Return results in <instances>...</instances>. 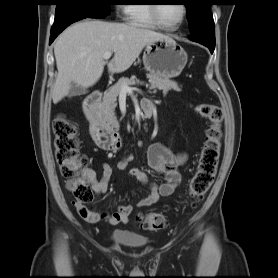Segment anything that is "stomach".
<instances>
[{"mask_svg": "<svg viewBox=\"0 0 278 278\" xmlns=\"http://www.w3.org/2000/svg\"><path fill=\"white\" fill-rule=\"evenodd\" d=\"M187 59L186 51L170 37L148 43L143 54L145 69L166 78L179 76Z\"/></svg>", "mask_w": 278, "mask_h": 278, "instance_id": "stomach-1", "label": "stomach"}]
</instances>
